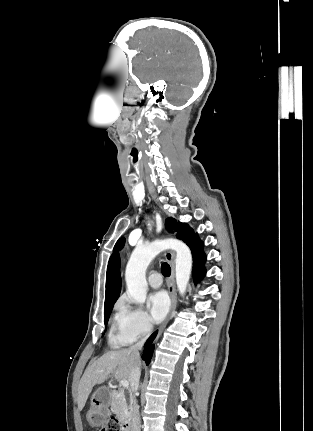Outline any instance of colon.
<instances>
[{"instance_id":"5ec220e1","label":"colon","mask_w":313,"mask_h":431,"mask_svg":"<svg viewBox=\"0 0 313 431\" xmlns=\"http://www.w3.org/2000/svg\"><path fill=\"white\" fill-rule=\"evenodd\" d=\"M101 431H121V425L119 421L115 418H111L107 421V423L102 427Z\"/></svg>"}]
</instances>
